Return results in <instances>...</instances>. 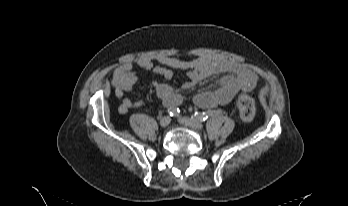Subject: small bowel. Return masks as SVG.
<instances>
[{"instance_id":"small-bowel-1","label":"small bowel","mask_w":348,"mask_h":206,"mask_svg":"<svg viewBox=\"0 0 348 206\" xmlns=\"http://www.w3.org/2000/svg\"><path fill=\"white\" fill-rule=\"evenodd\" d=\"M158 65L146 57L139 58L137 65L144 70L169 80L173 76V70H185L188 73V81L182 88L192 90L202 80L220 73H227L220 79V86L213 91H202L195 95L194 102L201 108H213L228 104L239 90L249 91L257 82V75L243 64L223 57L201 56L194 60H182L175 57L160 56ZM137 81V74L131 62H125L118 66L112 75V85L115 96L120 100L119 112L124 114L129 110L140 108L143 101H132L124 96L131 90ZM156 95L165 107H178L182 103V95L169 84L153 82Z\"/></svg>"}]
</instances>
